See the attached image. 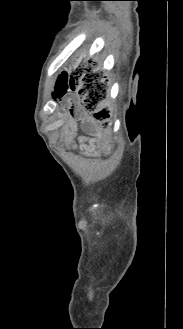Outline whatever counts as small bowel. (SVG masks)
I'll list each match as a JSON object with an SVG mask.
<instances>
[{"label": "small bowel", "mask_w": 183, "mask_h": 329, "mask_svg": "<svg viewBox=\"0 0 183 329\" xmlns=\"http://www.w3.org/2000/svg\"><path fill=\"white\" fill-rule=\"evenodd\" d=\"M82 120L88 125L87 128L92 133V135L89 140L84 138L79 139V146L83 151L91 153L94 156H98L102 151V146L97 129L90 124L87 118L83 117ZM66 135L70 139L76 135V128L73 120H68L66 123Z\"/></svg>", "instance_id": "small-bowel-1"}]
</instances>
